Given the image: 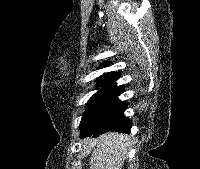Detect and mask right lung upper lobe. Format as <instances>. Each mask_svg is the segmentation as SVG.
I'll return each mask as SVG.
<instances>
[{
  "mask_svg": "<svg viewBox=\"0 0 200 169\" xmlns=\"http://www.w3.org/2000/svg\"><path fill=\"white\" fill-rule=\"evenodd\" d=\"M109 62H105L102 67L108 66ZM119 72H110L98 78L97 85L101 86H115L114 82L120 77Z\"/></svg>",
  "mask_w": 200,
  "mask_h": 169,
  "instance_id": "obj_1",
  "label": "right lung upper lobe"
}]
</instances>
